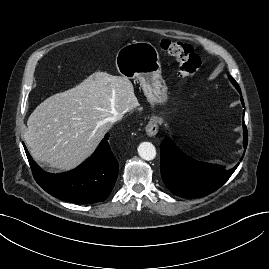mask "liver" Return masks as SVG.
<instances>
[{"instance_id": "liver-1", "label": "liver", "mask_w": 269, "mask_h": 269, "mask_svg": "<svg viewBox=\"0 0 269 269\" xmlns=\"http://www.w3.org/2000/svg\"><path fill=\"white\" fill-rule=\"evenodd\" d=\"M138 106L127 77L95 72L38 105L28 118L24 140L34 159L67 171L93 153L112 125L111 116Z\"/></svg>"}]
</instances>
